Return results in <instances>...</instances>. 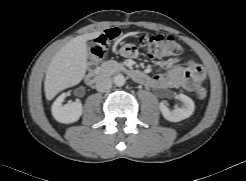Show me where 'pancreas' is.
<instances>
[{
    "label": "pancreas",
    "mask_w": 246,
    "mask_h": 181,
    "mask_svg": "<svg viewBox=\"0 0 246 181\" xmlns=\"http://www.w3.org/2000/svg\"><path fill=\"white\" fill-rule=\"evenodd\" d=\"M101 68L104 72L114 73V72H117L119 70H122L124 67H123V65H121L120 63H118L115 60H108L101 65Z\"/></svg>",
    "instance_id": "pancreas-1"
}]
</instances>
